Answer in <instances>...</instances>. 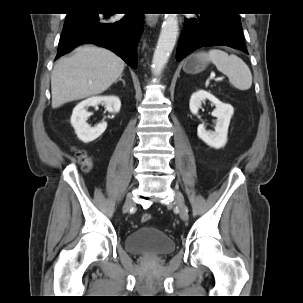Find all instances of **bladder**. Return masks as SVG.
<instances>
[{
  "mask_svg": "<svg viewBox=\"0 0 303 303\" xmlns=\"http://www.w3.org/2000/svg\"><path fill=\"white\" fill-rule=\"evenodd\" d=\"M124 247L128 253L163 257L175 250L176 243L161 230L151 226H141L126 236Z\"/></svg>",
  "mask_w": 303,
  "mask_h": 303,
  "instance_id": "31cf9c89",
  "label": "bladder"
}]
</instances>
